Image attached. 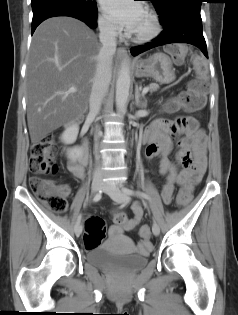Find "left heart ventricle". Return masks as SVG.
Returning a JSON list of instances; mask_svg holds the SVG:
<instances>
[{
  "label": "left heart ventricle",
  "instance_id": "left-heart-ventricle-1",
  "mask_svg": "<svg viewBox=\"0 0 238 315\" xmlns=\"http://www.w3.org/2000/svg\"><path fill=\"white\" fill-rule=\"evenodd\" d=\"M149 28H150V19L146 13H143L133 33L142 34V33L147 32Z\"/></svg>",
  "mask_w": 238,
  "mask_h": 315
}]
</instances>
